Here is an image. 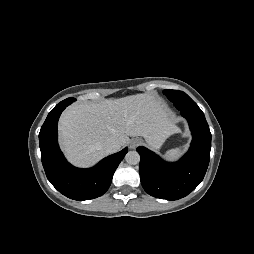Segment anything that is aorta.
<instances>
[{
	"label": "aorta",
	"instance_id": "obj_1",
	"mask_svg": "<svg viewBox=\"0 0 254 254\" xmlns=\"http://www.w3.org/2000/svg\"><path fill=\"white\" fill-rule=\"evenodd\" d=\"M125 160L130 165H136L140 162V155L137 151H129L125 156Z\"/></svg>",
	"mask_w": 254,
	"mask_h": 254
}]
</instances>
